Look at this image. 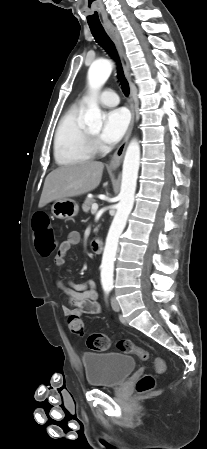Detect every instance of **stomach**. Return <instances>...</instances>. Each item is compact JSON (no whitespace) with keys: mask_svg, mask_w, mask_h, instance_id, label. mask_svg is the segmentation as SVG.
Returning <instances> with one entry per match:
<instances>
[{"mask_svg":"<svg viewBox=\"0 0 207 449\" xmlns=\"http://www.w3.org/2000/svg\"><path fill=\"white\" fill-rule=\"evenodd\" d=\"M51 211L54 217L69 220L78 214L79 206L72 199H59L53 203Z\"/></svg>","mask_w":207,"mask_h":449,"instance_id":"stomach-1","label":"stomach"}]
</instances>
